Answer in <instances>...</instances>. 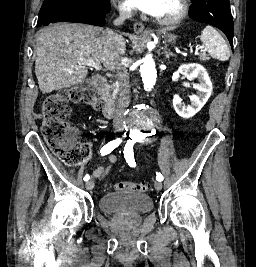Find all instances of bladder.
Wrapping results in <instances>:
<instances>
[{
	"instance_id": "1",
	"label": "bladder",
	"mask_w": 256,
	"mask_h": 267,
	"mask_svg": "<svg viewBox=\"0 0 256 267\" xmlns=\"http://www.w3.org/2000/svg\"><path fill=\"white\" fill-rule=\"evenodd\" d=\"M102 212L124 213L128 215L144 214L152 209L149 195L106 194L99 199Z\"/></svg>"
}]
</instances>
